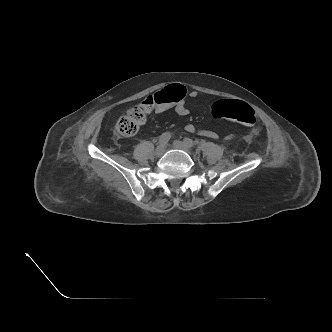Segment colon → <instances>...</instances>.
Segmentation results:
<instances>
[{
    "instance_id": "5ec220e1",
    "label": "colon",
    "mask_w": 332,
    "mask_h": 332,
    "mask_svg": "<svg viewBox=\"0 0 332 332\" xmlns=\"http://www.w3.org/2000/svg\"><path fill=\"white\" fill-rule=\"evenodd\" d=\"M185 94L186 90L180 84H172L161 89L149 96L140 106L132 107L121 116L116 123L115 134L118 137L133 136L145 122L146 107L174 104L181 101ZM211 113L215 119L231 120L248 126L254 125L257 121L253 108L239 100H219L213 104Z\"/></svg>"
}]
</instances>
